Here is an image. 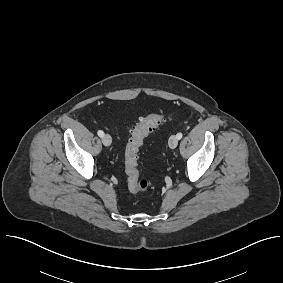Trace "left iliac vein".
Returning a JSON list of instances; mask_svg holds the SVG:
<instances>
[{
	"label": "left iliac vein",
	"mask_w": 283,
	"mask_h": 283,
	"mask_svg": "<svg viewBox=\"0 0 283 283\" xmlns=\"http://www.w3.org/2000/svg\"><path fill=\"white\" fill-rule=\"evenodd\" d=\"M168 145L171 149H174L177 147L178 145V138L175 136V135H172L170 138H169V141H168Z\"/></svg>",
	"instance_id": "4c4485c4"
}]
</instances>
